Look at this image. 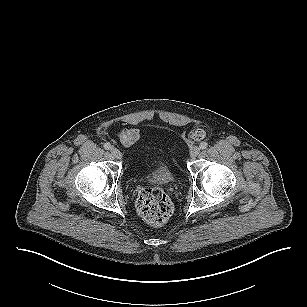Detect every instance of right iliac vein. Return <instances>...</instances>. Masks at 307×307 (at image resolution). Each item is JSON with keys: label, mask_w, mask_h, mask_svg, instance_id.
<instances>
[{"label": "right iliac vein", "mask_w": 307, "mask_h": 307, "mask_svg": "<svg viewBox=\"0 0 307 307\" xmlns=\"http://www.w3.org/2000/svg\"><path fill=\"white\" fill-rule=\"evenodd\" d=\"M111 154L115 157V158H117V159H120L121 157H122V153L120 152V150L119 149H117V148H111Z\"/></svg>", "instance_id": "obj_1"}]
</instances>
